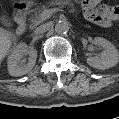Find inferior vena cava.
<instances>
[{
  "label": "inferior vena cava",
  "mask_w": 119,
  "mask_h": 119,
  "mask_svg": "<svg viewBox=\"0 0 119 119\" xmlns=\"http://www.w3.org/2000/svg\"><path fill=\"white\" fill-rule=\"evenodd\" d=\"M50 29V24H43L37 27L34 31L36 35L43 34L44 32L48 31Z\"/></svg>",
  "instance_id": "602c4592"
}]
</instances>
